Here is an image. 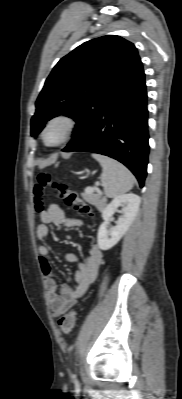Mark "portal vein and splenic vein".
I'll use <instances>...</instances> for the list:
<instances>
[{
  "label": "portal vein and splenic vein",
  "instance_id": "18ae733b",
  "mask_svg": "<svg viewBox=\"0 0 182 399\" xmlns=\"http://www.w3.org/2000/svg\"><path fill=\"white\" fill-rule=\"evenodd\" d=\"M93 191H94V188H87V189H86V192H87V193H90V192H93Z\"/></svg>",
  "mask_w": 182,
  "mask_h": 399
}]
</instances>
